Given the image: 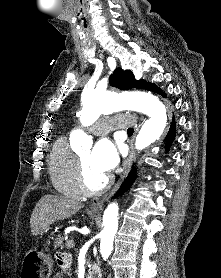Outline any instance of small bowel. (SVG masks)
<instances>
[{"mask_svg":"<svg viewBox=\"0 0 221 278\" xmlns=\"http://www.w3.org/2000/svg\"><path fill=\"white\" fill-rule=\"evenodd\" d=\"M60 264V271L53 276V278H65L71 274L70 259L67 255L61 254L57 256Z\"/></svg>","mask_w":221,"mask_h":278,"instance_id":"obj_1","label":"small bowel"}]
</instances>
